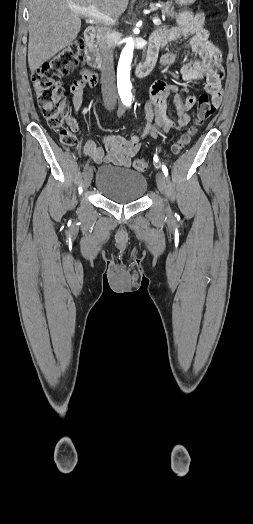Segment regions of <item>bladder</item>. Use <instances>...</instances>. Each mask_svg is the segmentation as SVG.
Segmentation results:
<instances>
[{
	"label": "bladder",
	"instance_id": "obj_1",
	"mask_svg": "<svg viewBox=\"0 0 253 524\" xmlns=\"http://www.w3.org/2000/svg\"><path fill=\"white\" fill-rule=\"evenodd\" d=\"M95 187L106 199L119 204H128L143 197L148 183L141 173L105 165L97 171Z\"/></svg>",
	"mask_w": 253,
	"mask_h": 524
}]
</instances>
